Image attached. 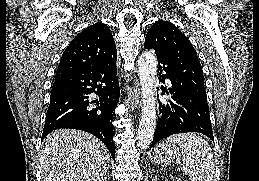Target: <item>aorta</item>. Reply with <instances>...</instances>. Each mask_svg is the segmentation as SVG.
<instances>
[{
    "instance_id": "762f6f07",
    "label": "aorta",
    "mask_w": 259,
    "mask_h": 181,
    "mask_svg": "<svg viewBox=\"0 0 259 181\" xmlns=\"http://www.w3.org/2000/svg\"><path fill=\"white\" fill-rule=\"evenodd\" d=\"M157 74V59L153 52H143L138 61V75L142 91V111L138 126V143L140 150L146 149L152 142L156 128V99L154 82Z\"/></svg>"
}]
</instances>
